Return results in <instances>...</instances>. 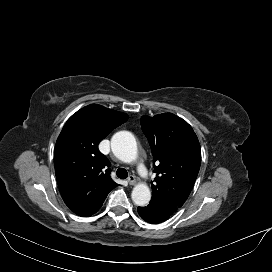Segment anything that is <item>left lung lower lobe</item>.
<instances>
[{
    "label": "left lung lower lobe",
    "instance_id": "1",
    "mask_svg": "<svg viewBox=\"0 0 272 272\" xmlns=\"http://www.w3.org/2000/svg\"><path fill=\"white\" fill-rule=\"evenodd\" d=\"M138 213L143 220L152 224L161 223L171 216L150 205L138 207Z\"/></svg>",
    "mask_w": 272,
    "mask_h": 272
}]
</instances>
